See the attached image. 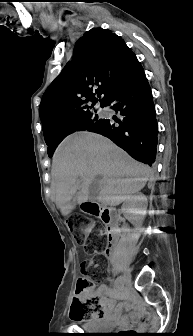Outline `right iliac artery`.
<instances>
[{
	"instance_id": "1",
	"label": "right iliac artery",
	"mask_w": 193,
	"mask_h": 336,
	"mask_svg": "<svg viewBox=\"0 0 193 336\" xmlns=\"http://www.w3.org/2000/svg\"><path fill=\"white\" fill-rule=\"evenodd\" d=\"M121 280H122V276H119V277L116 278V280L114 282V288L115 289H118L120 287ZM113 296H114V298H119L121 295H120L119 292L113 291Z\"/></svg>"
}]
</instances>
